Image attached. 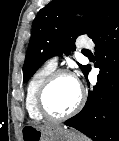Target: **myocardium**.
<instances>
[{"mask_svg": "<svg viewBox=\"0 0 119 141\" xmlns=\"http://www.w3.org/2000/svg\"><path fill=\"white\" fill-rule=\"evenodd\" d=\"M60 76H69L76 81L78 88H79V97H78L77 103L70 111L64 114H61V115H53L46 109L44 100H45V95H46L47 90L49 89L51 84ZM84 101H85L84 90L82 89L81 85L79 84L74 73H72L71 71L67 69H57V70H54L52 73H50L44 79V81L40 85L37 91V94H36V107H37L38 112L43 116V118H46L48 120H54V121H61V120L70 118L73 115H75L76 113H78L80 109L82 108Z\"/></svg>", "mask_w": 119, "mask_h": 141, "instance_id": "myocardium-1", "label": "myocardium"}]
</instances>
